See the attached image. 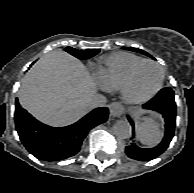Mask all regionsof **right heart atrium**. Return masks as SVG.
Instances as JSON below:
<instances>
[{
	"mask_svg": "<svg viewBox=\"0 0 194 193\" xmlns=\"http://www.w3.org/2000/svg\"><path fill=\"white\" fill-rule=\"evenodd\" d=\"M91 70H92L93 84L101 90L110 89L109 86L98 75L97 69H95L94 67L91 66Z\"/></svg>",
	"mask_w": 194,
	"mask_h": 193,
	"instance_id": "d8ad5b80",
	"label": "right heart atrium"
}]
</instances>
